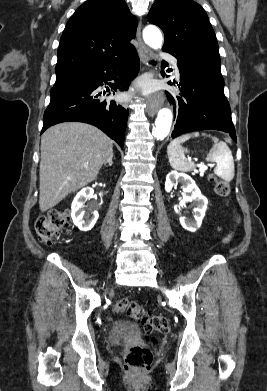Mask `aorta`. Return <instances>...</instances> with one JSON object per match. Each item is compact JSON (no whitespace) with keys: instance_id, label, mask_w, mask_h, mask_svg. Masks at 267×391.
Listing matches in <instances>:
<instances>
[{"instance_id":"1","label":"aorta","mask_w":267,"mask_h":391,"mask_svg":"<svg viewBox=\"0 0 267 391\" xmlns=\"http://www.w3.org/2000/svg\"><path fill=\"white\" fill-rule=\"evenodd\" d=\"M143 39L153 49H160L163 44V37L160 30L155 26H147L143 30ZM172 112L169 109H161L155 120L152 134L157 139H164L170 132L172 124Z\"/></svg>"}]
</instances>
